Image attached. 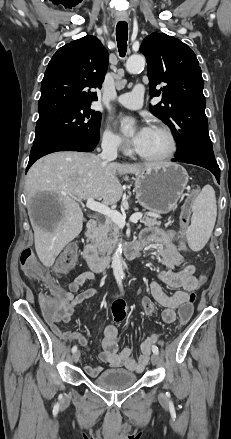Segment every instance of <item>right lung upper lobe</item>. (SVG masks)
<instances>
[{
    "instance_id": "right-lung-upper-lobe-1",
    "label": "right lung upper lobe",
    "mask_w": 231,
    "mask_h": 439,
    "mask_svg": "<svg viewBox=\"0 0 231 439\" xmlns=\"http://www.w3.org/2000/svg\"><path fill=\"white\" fill-rule=\"evenodd\" d=\"M108 52L95 36H85L61 47L50 60L41 84L39 117L55 111L91 106L93 88H101Z\"/></svg>"
}]
</instances>
